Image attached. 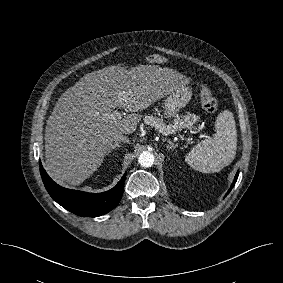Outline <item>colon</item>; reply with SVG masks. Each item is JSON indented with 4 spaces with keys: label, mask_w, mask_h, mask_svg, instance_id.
<instances>
[{
    "label": "colon",
    "mask_w": 283,
    "mask_h": 283,
    "mask_svg": "<svg viewBox=\"0 0 283 283\" xmlns=\"http://www.w3.org/2000/svg\"><path fill=\"white\" fill-rule=\"evenodd\" d=\"M146 60L152 64H161L165 61V58L159 54H149L146 56ZM200 100L205 111L213 113L217 110V100L213 97L210 88L206 85H202L200 88Z\"/></svg>",
    "instance_id": "5ec220e1"
}]
</instances>
